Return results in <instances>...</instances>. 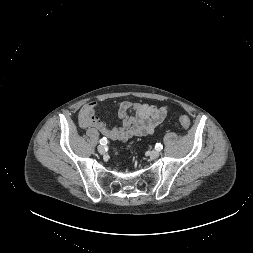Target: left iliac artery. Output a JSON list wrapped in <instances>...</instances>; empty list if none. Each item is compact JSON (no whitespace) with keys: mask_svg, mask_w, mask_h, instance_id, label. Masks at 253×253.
<instances>
[{"mask_svg":"<svg viewBox=\"0 0 253 253\" xmlns=\"http://www.w3.org/2000/svg\"><path fill=\"white\" fill-rule=\"evenodd\" d=\"M162 148H163V145H162V144H157V145H156V150H159V151H160Z\"/></svg>","mask_w":253,"mask_h":253,"instance_id":"obj_1","label":"left iliac artery"}]
</instances>
